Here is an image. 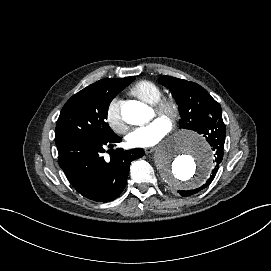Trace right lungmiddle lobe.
Returning <instances> with one entry per match:
<instances>
[{
	"label": "right lung middle lobe",
	"mask_w": 271,
	"mask_h": 271,
	"mask_svg": "<svg viewBox=\"0 0 271 271\" xmlns=\"http://www.w3.org/2000/svg\"><path fill=\"white\" fill-rule=\"evenodd\" d=\"M134 79H102L72 96L62 108L56 124V145L77 137L109 138L114 135L105 122L109 104Z\"/></svg>",
	"instance_id": "1"
}]
</instances>
